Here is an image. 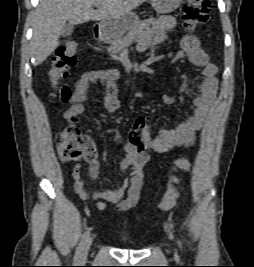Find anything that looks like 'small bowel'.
<instances>
[{"label":"small bowel","mask_w":254,"mask_h":267,"mask_svg":"<svg viewBox=\"0 0 254 267\" xmlns=\"http://www.w3.org/2000/svg\"><path fill=\"white\" fill-rule=\"evenodd\" d=\"M175 25L174 17L170 15L159 17L153 21L149 35L140 43L139 49L144 51L150 46L163 42L164 34L172 30ZM184 57L202 69L201 80L196 86L198 95L193 100L192 115L172 129L160 128L155 135H153L154 122L151 117L137 118L133 124L131 137L124 145V157L120 163V169L122 171L131 170V175L119 183L115 189L93 192L86 190L82 171L79 166H76L73 170L74 190L83 201L94 202L99 209H104L106 203H114L121 211L129 210L137 204L140 197L143 168L148 160L146 152L167 153L175 148L194 145L196 133L203 127L216 96L217 67L209 62L208 55L202 49L199 39L193 35L183 37L181 48L175 54L174 60ZM118 78L119 71L117 69L84 73L75 85L74 93L70 98V107L64 115L65 118L76 117L87 109L90 85L96 82L102 83L105 88L103 101L105 110L109 114L116 112L121 106L115 84ZM163 100L167 104H172L175 98L165 95ZM98 165V158L90 161L91 178H95Z\"/></svg>","instance_id":"1"}]
</instances>
